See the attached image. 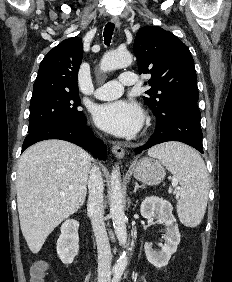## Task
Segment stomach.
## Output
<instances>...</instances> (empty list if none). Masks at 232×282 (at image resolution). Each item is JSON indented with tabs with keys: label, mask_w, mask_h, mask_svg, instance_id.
I'll use <instances>...</instances> for the list:
<instances>
[{
	"label": "stomach",
	"mask_w": 232,
	"mask_h": 282,
	"mask_svg": "<svg viewBox=\"0 0 232 282\" xmlns=\"http://www.w3.org/2000/svg\"><path fill=\"white\" fill-rule=\"evenodd\" d=\"M132 170L135 179L147 185L159 184L166 174L163 165L159 161L149 157L137 161Z\"/></svg>",
	"instance_id": "stomach-1"
}]
</instances>
